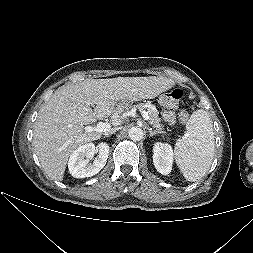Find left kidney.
I'll return each instance as SVG.
<instances>
[{"label": "left kidney", "mask_w": 253, "mask_h": 253, "mask_svg": "<svg viewBox=\"0 0 253 253\" xmlns=\"http://www.w3.org/2000/svg\"><path fill=\"white\" fill-rule=\"evenodd\" d=\"M153 152V163L156 170L163 175H168L173 164L172 147L169 144L157 142L154 145Z\"/></svg>", "instance_id": "left-kidney-1"}]
</instances>
